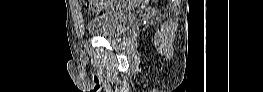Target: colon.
Returning a JSON list of instances; mask_svg holds the SVG:
<instances>
[{
    "label": "colon",
    "instance_id": "obj_1",
    "mask_svg": "<svg viewBox=\"0 0 263 92\" xmlns=\"http://www.w3.org/2000/svg\"><path fill=\"white\" fill-rule=\"evenodd\" d=\"M129 3V5L130 4H133V2H128ZM142 2H135V4L137 5V4H141ZM111 4H114V3H111ZM96 9H97V7H91V8H89V11L90 12H94V11H96Z\"/></svg>",
    "mask_w": 263,
    "mask_h": 92
}]
</instances>
